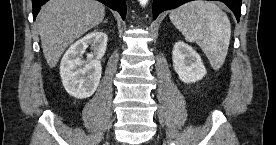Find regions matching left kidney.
I'll use <instances>...</instances> for the list:
<instances>
[{"instance_id":"1","label":"left kidney","mask_w":276,"mask_h":145,"mask_svg":"<svg viewBox=\"0 0 276 145\" xmlns=\"http://www.w3.org/2000/svg\"><path fill=\"white\" fill-rule=\"evenodd\" d=\"M172 60L175 72L184 83H195L206 74V69L199 54L183 41L175 43Z\"/></svg>"}]
</instances>
